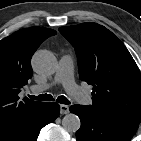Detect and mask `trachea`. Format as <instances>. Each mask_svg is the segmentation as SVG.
Here are the masks:
<instances>
[{
  "label": "trachea",
  "instance_id": "3493384b",
  "mask_svg": "<svg viewBox=\"0 0 141 141\" xmlns=\"http://www.w3.org/2000/svg\"><path fill=\"white\" fill-rule=\"evenodd\" d=\"M29 97L33 100H39V101H54L53 97L50 94H41L38 96L29 95ZM57 102L61 104H70L69 100L65 96H59L57 98Z\"/></svg>",
  "mask_w": 141,
  "mask_h": 141
}]
</instances>
